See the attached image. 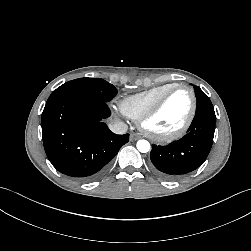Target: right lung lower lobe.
<instances>
[{
    "label": "right lung lower lobe",
    "mask_w": 251,
    "mask_h": 251,
    "mask_svg": "<svg viewBox=\"0 0 251 251\" xmlns=\"http://www.w3.org/2000/svg\"><path fill=\"white\" fill-rule=\"evenodd\" d=\"M107 102L63 96L47 101L42 113V138L46 155L61 173L88 181L103 175L129 134L116 135L103 119Z\"/></svg>",
    "instance_id": "right-lung-lower-lobe-1"
}]
</instances>
